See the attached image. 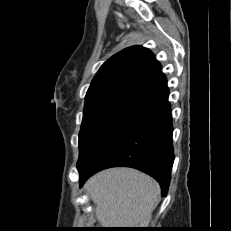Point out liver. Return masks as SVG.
<instances>
[{"instance_id":"liver-1","label":"liver","mask_w":231,"mask_h":231,"mask_svg":"<svg viewBox=\"0 0 231 231\" xmlns=\"http://www.w3.org/2000/svg\"><path fill=\"white\" fill-rule=\"evenodd\" d=\"M85 188L104 228H146L160 193L153 178L130 168L101 171Z\"/></svg>"}]
</instances>
